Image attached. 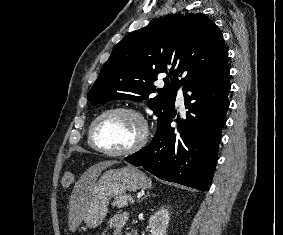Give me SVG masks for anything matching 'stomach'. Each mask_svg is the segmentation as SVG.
<instances>
[{
    "label": "stomach",
    "instance_id": "1",
    "mask_svg": "<svg viewBox=\"0 0 283 235\" xmlns=\"http://www.w3.org/2000/svg\"><path fill=\"white\" fill-rule=\"evenodd\" d=\"M150 180L138 168L128 165L105 171L94 184L84 204V221L90 228L99 226L108 211L111 198L127 191H137L150 186Z\"/></svg>",
    "mask_w": 283,
    "mask_h": 235
}]
</instances>
